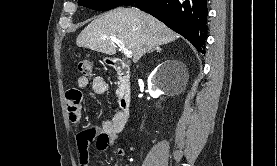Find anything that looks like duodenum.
I'll return each instance as SVG.
<instances>
[{"label": "duodenum", "instance_id": "1", "mask_svg": "<svg viewBox=\"0 0 277 166\" xmlns=\"http://www.w3.org/2000/svg\"><path fill=\"white\" fill-rule=\"evenodd\" d=\"M111 65L122 85L119 100V116L124 123H127L131 110V93L129 89L130 71L128 66L118 58L113 59Z\"/></svg>", "mask_w": 277, "mask_h": 166}]
</instances>
